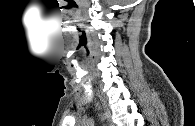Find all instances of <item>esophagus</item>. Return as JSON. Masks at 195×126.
I'll return each instance as SVG.
<instances>
[{
  "mask_svg": "<svg viewBox=\"0 0 195 126\" xmlns=\"http://www.w3.org/2000/svg\"><path fill=\"white\" fill-rule=\"evenodd\" d=\"M102 106H103L104 116H105V119H106L108 126H114L112 119H111V112H110L108 106L106 105V103L103 102V100H102Z\"/></svg>",
  "mask_w": 195,
  "mask_h": 126,
  "instance_id": "34e87169",
  "label": "esophagus"
}]
</instances>
